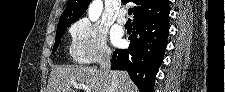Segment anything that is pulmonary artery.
<instances>
[{"label": "pulmonary artery", "instance_id": "pulmonary-artery-1", "mask_svg": "<svg viewBox=\"0 0 225 92\" xmlns=\"http://www.w3.org/2000/svg\"><path fill=\"white\" fill-rule=\"evenodd\" d=\"M125 14H126V11L122 10L118 13V16H117V22L120 24V25H125L126 24V17H125Z\"/></svg>", "mask_w": 225, "mask_h": 92}]
</instances>
